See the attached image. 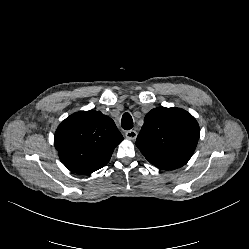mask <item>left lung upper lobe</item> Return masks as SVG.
Returning <instances> with one entry per match:
<instances>
[{
  "mask_svg": "<svg viewBox=\"0 0 249 249\" xmlns=\"http://www.w3.org/2000/svg\"><path fill=\"white\" fill-rule=\"evenodd\" d=\"M199 134V125L189 112L158 107L145 116L136 145L151 164L162 170H173L191 158Z\"/></svg>",
  "mask_w": 249,
  "mask_h": 249,
  "instance_id": "obj_1",
  "label": "left lung upper lobe"
}]
</instances>
